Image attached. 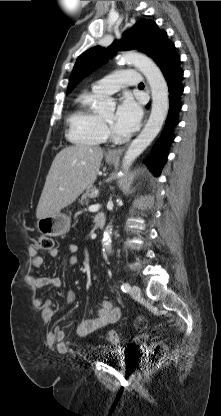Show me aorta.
<instances>
[{
    "label": "aorta",
    "instance_id": "1",
    "mask_svg": "<svg viewBox=\"0 0 221 416\" xmlns=\"http://www.w3.org/2000/svg\"><path fill=\"white\" fill-rule=\"evenodd\" d=\"M120 59L125 63L134 65L145 76L152 96L150 117L139 136L132 141L124 155L122 169L125 174L135 159L160 132L169 110V92L167 82L161 70L151 58L138 52H126ZM111 104V100H104L99 103L96 109L98 112H104ZM111 233V227H107L102 240L103 247L108 252H111Z\"/></svg>",
    "mask_w": 221,
    "mask_h": 416
}]
</instances>
